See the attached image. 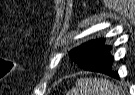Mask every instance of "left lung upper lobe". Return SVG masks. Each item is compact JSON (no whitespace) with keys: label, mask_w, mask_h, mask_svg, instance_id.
<instances>
[{"label":"left lung upper lobe","mask_w":135,"mask_h":95,"mask_svg":"<svg viewBox=\"0 0 135 95\" xmlns=\"http://www.w3.org/2000/svg\"><path fill=\"white\" fill-rule=\"evenodd\" d=\"M104 40H92L80 45L77 48L72 49L69 52V55L72 57V60L82 68L83 64L86 62L88 57L98 48V46Z\"/></svg>","instance_id":"1"}]
</instances>
